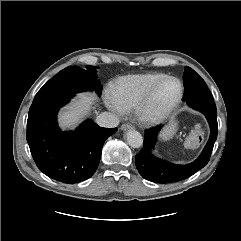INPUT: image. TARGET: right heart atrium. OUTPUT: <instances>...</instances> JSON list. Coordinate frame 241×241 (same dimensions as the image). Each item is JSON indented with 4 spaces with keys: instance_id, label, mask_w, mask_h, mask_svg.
Instances as JSON below:
<instances>
[{
    "instance_id": "1",
    "label": "right heart atrium",
    "mask_w": 241,
    "mask_h": 241,
    "mask_svg": "<svg viewBox=\"0 0 241 241\" xmlns=\"http://www.w3.org/2000/svg\"><path fill=\"white\" fill-rule=\"evenodd\" d=\"M104 101L106 106L118 115L124 114V108L118 103L115 97L112 95L111 92H107L104 97Z\"/></svg>"
}]
</instances>
